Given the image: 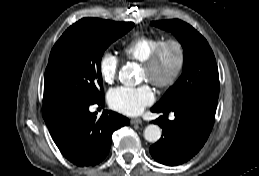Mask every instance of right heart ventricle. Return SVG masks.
Listing matches in <instances>:
<instances>
[{
    "label": "right heart ventricle",
    "mask_w": 259,
    "mask_h": 176,
    "mask_svg": "<svg viewBox=\"0 0 259 176\" xmlns=\"http://www.w3.org/2000/svg\"><path fill=\"white\" fill-rule=\"evenodd\" d=\"M163 40L162 36H135L124 45L123 54L129 60L142 63Z\"/></svg>",
    "instance_id": "1"
}]
</instances>
